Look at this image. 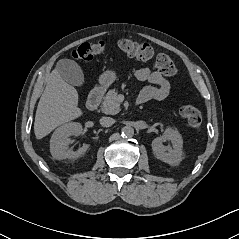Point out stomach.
I'll return each mask as SVG.
<instances>
[{
  "label": "stomach",
  "mask_w": 239,
  "mask_h": 239,
  "mask_svg": "<svg viewBox=\"0 0 239 239\" xmlns=\"http://www.w3.org/2000/svg\"><path fill=\"white\" fill-rule=\"evenodd\" d=\"M116 80V73L112 70L105 71L99 79L102 86L108 87Z\"/></svg>",
  "instance_id": "0dacf381"
}]
</instances>
